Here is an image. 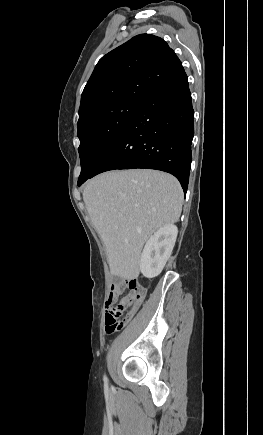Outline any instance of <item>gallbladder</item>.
Instances as JSON below:
<instances>
[{
	"label": "gallbladder",
	"mask_w": 263,
	"mask_h": 435,
	"mask_svg": "<svg viewBox=\"0 0 263 435\" xmlns=\"http://www.w3.org/2000/svg\"><path fill=\"white\" fill-rule=\"evenodd\" d=\"M114 281H118V278H115Z\"/></svg>",
	"instance_id": "1"
}]
</instances>
